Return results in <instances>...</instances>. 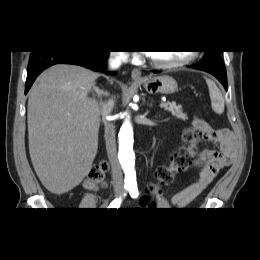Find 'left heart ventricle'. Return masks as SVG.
<instances>
[{
	"mask_svg": "<svg viewBox=\"0 0 260 260\" xmlns=\"http://www.w3.org/2000/svg\"><path fill=\"white\" fill-rule=\"evenodd\" d=\"M187 52L178 51H156L150 53V55L159 62H173L184 58Z\"/></svg>",
	"mask_w": 260,
	"mask_h": 260,
	"instance_id": "1",
	"label": "left heart ventricle"
}]
</instances>
